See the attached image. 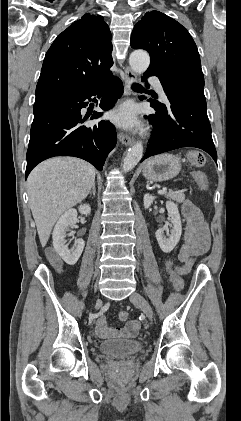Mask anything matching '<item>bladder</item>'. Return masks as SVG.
I'll list each match as a JSON object with an SVG mask.
<instances>
[{"mask_svg": "<svg viewBox=\"0 0 241 421\" xmlns=\"http://www.w3.org/2000/svg\"><path fill=\"white\" fill-rule=\"evenodd\" d=\"M99 349L106 356L126 359L139 353L142 346L136 340H108L102 342Z\"/></svg>", "mask_w": 241, "mask_h": 421, "instance_id": "bladder-1", "label": "bladder"}]
</instances>
